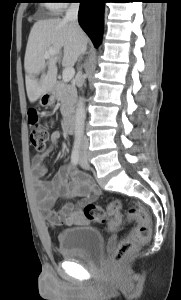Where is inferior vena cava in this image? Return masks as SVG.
<instances>
[{"instance_id": "obj_1", "label": "inferior vena cava", "mask_w": 181, "mask_h": 300, "mask_svg": "<svg viewBox=\"0 0 181 300\" xmlns=\"http://www.w3.org/2000/svg\"><path fill=\"white\" fill-rule=\"evenodd\" d=\"M78 11H79V3L78 2H73L69 6L68 10L66 11V15L64 17V21L66 22H72L74 24H77L78 21ZM86 45H83L81 48V53H85L86 51ZM88 141L85 137L82 136L81 141H80V146H85L87 145Z\"/></svg>"}]
</instances>
